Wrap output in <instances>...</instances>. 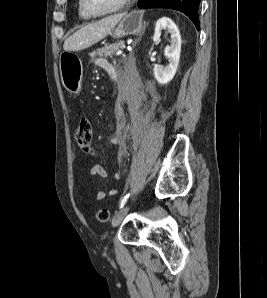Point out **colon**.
Listing matches in <instances>:
<instances>
[{"instance_id":"5ec220e1","label":"colon","mask_w":267,"mask_h":298,"mask_svg":"<svg viewBox=\"0 0 267 298\" xmlns=\"http://www.w3.org/2000/svg\"><path fill=\"white\" fill-rule=\"evenodd\" d=\"M93 125L90 119L83 118L77 124L75 129V143L84 152H91V143L93 139ZM99 222H107L110 219V212L107 209H100L96 214Z\"/></svg>"}]
</instances>
